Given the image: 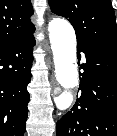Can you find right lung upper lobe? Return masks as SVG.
Segmentation results:
<instances>
[{
	"instance_id": "cb5924a9",
	"label": "right lung upper lobe",
	"mask_w": 117,
	"mask_h": 136,
	"mask_svg": "<svg viewBox=\"0 0 117 136\" xmlns=\"http://www.w3.org/2000/svg\"><path fill=\"white\" fill-rule=\"evenodd\" d=\"M30 0H0V46L35 30Z\"/></svg>"
}]
</instances>
